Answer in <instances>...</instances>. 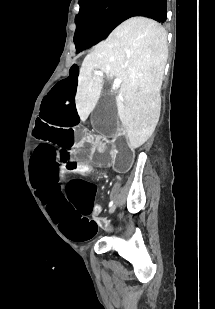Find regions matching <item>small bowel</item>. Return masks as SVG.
I'll return each instance as SVG.
<instances>
[{
  "mask_svg": "<svg viewBox=\"0 0 215 309\" xmlns=\"http://www.w3.org/2000/svg\"><path fill=\"white\" fill-rule=\"evenodd\" d=\"M101 213V207L95 206V210L93 211V216L96 218Z\"/></svg>",
  "mask_w": 215,
  "mask_h": 309,
  "instance_id": "small-bowel-1",
  "label": "small bowel"
}]
</instances>
